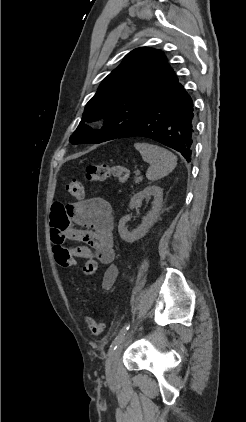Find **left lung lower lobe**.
Returning a JSON list of instances; mask_svg holds the SVG:
<instances>
[{
    "label": "left lung lower lobe",
    "instance_id": "0a47b994",
    "mask_svg": "<svg viewBox=\"0 0 246 422\" xmlns=\"http://www.w3.org/2000/svg\"><path fill=\"white\" fill-rule=\"evenodd\" d=\"M194 132L192 98L175 77L146 113L118 138L147 137L175 149L190 162Z\"/></svg>",
    "mask_w": 246,
    "mask_h": 422
}]
</instances>
